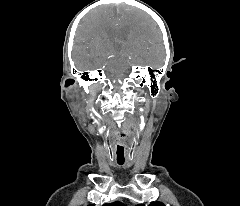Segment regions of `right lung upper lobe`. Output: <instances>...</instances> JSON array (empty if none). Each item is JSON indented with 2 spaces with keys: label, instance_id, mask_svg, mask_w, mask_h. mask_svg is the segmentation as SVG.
<instances>
[{
  "label": "right lung upper lobe",
  "instance_id": "1",
  "mask_svg": "<svg viewBox=\"0 0 240 206\" xmlns=\"http://www.w3.org/2000/svg\"><path fill=\"white\" fill-rule=\"evenodd\" d=\"M89 206H93V205H89ZM103 206H125V205L121 202H114L110 204H104Z\"/></svg>",
  "mask_w": 240,
  "mask_h": 206
}]
</instances>
